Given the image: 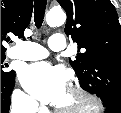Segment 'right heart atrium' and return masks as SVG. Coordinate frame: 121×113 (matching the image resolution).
<instances>
[{"label": "right heart atrium", "instance_id": "1", "mask_svg": "<svg viewBox=\"0 0 121 113\" xmlns=\"http://www.w3.org/2000/svg\"><path fill=\"white\" fill-rule=\"evenodd\" d=\"M14 103L16 105L15 109L24 111H31L37 109L36 102L20 90H17L14 93Z\"/></svg>", "mask_w": 121, "mask_h": 113}]
</instances>
